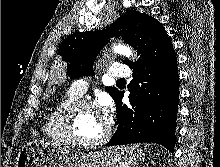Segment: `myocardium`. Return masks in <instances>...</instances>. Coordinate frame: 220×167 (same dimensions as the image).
<instances>
[{"label": "myocardium", "mask_w": 220, "mask_h": 167, "mask_svg": "<svg viewBox=\"0 0 220 167\" xmlns=\"http://www.w3.org/2000/svg\"><path fill=\"white\" fill-rule=\"evenodd\" d=\"M82 108L97 110L96 106L87 100L77 99L70 103L63 110L59 120V128L63 137L69 144L81 148H95L105 144L109 140L112 132L111 125L108 122H106V127L103 134L96 140L83 141L75 136L73 131L74 119L77 112Z\"/></svg>", "instance_id": "1"}]
</instances>
